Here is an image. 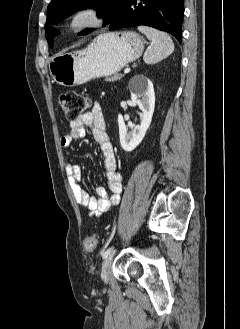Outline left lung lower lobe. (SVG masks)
I'll return each instance as SVG.
<instances>
[{"label": "left lung lower lobe", "mask_w": 240, "mask_h": 329, "mask_svg": "<svg viewBox=\"0 0 240 329\" xmlns=\"http://www.w3.org/2000/svg\"><path fill=\"white\" fill-rule=\"evenodd\" d=\"M183 16L184 0H126L109 30L146 25L172 34L181 43Z\"/></svg>", "instance_id": "1"}]
</instances>
